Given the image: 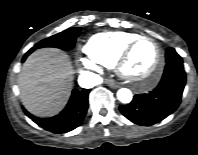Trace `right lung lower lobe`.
<instances>
[{
	"instance_id": "right-lung-lower-lobe-1",
	"label": "right lung lower lobe",
	"mask_w": 198,
	"mask_h": 155,
	"mask_svg": "<svg viewBox=\"0 0 198 155\" xmlns=\"http://www.w3.org/2000/svg\"><path fill=\"white\" fill-rule=\"evenodd\" d=\"M27 52L22 61H25ZM90 90L74 89L65 109L57 116L47 119L35 117L25 110L26 115L37 125L53 133H66L78 127L86 115L88 109V95Z\"/></svg>"
}]
</instances>
